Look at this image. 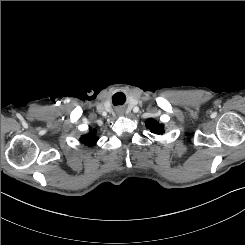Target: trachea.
I'll use <instances>...</instances> for the list:
<instances>
[{
	"label": "trachea",
	"mask_w": 245,
	"mask_h": 245,
	"mask_svg": "<svg viewBox=\"0 0 245 245\" xmlns=\"http://www.w3.org/2000/svg\"><path fill=\"white\" fill-rule=\"evenodd\" d=\"M125 98L124 94L122 93H116L113 97V104L117 105L120 104L121 100Z\"/></svg>",
	"instance_id": "1"
}]
</instances>
